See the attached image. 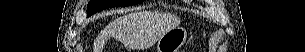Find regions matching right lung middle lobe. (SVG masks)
<instances>
[{"label":"right lung middle lobe","instance_id":"right-lung-middle-lobe-1","mask_svg":"<svg viewBox=\"0 0 305 52\" xmlns=\"http://www.w3.org/2000/svg\"><path fill=\"white\" fill-rule=\"evenodd\" d=\"M144 0H91L87 5V16L100 12L104 9L129 6L143 2Z\"/></svg>","mask_w":305,"mask_h":52}]
</instances>
